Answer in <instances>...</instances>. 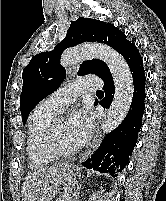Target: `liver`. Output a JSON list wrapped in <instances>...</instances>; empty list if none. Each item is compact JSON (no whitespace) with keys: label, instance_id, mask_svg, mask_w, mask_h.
I'll use <instances>...</instances> for the list:
<instances>
[{"label":"liver","instance_id":"1","mask_svg":"<svg viewBox=\"0 0 166 201\" xmlns=\"http://www.w3.org/2000/svg\"><path fill=\"white\" fill-rule=\"evenodd\" d=\"M63 166H67V164L40 168L29 172L22 184V201H36L42 185Z\"/></svg>","mask_w":166,"mask_h":201}]
</instances>
